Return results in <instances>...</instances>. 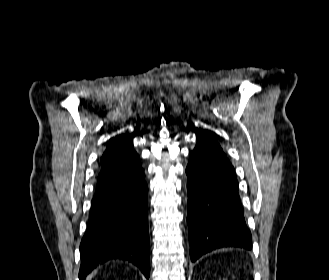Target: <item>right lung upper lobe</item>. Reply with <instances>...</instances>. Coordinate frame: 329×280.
<instances>
[{
	"label": "right lung upper lobe",
	"instance_id": "obj_1",
	"mask_svg": "<svg viewBox=\"0 0 329 280\" xmlns=\"http://www.w3.org/2000/svg\"><path fill=\"white\" fill-rule=\"evenodd\" d=\"M139 156L133 149V141L128 134L118 135L109 141L101 158V170L118 166L138 164Z\"/></svg>",
	"mask_w": 329,
	"mask_h": 280
}]
</instances>
